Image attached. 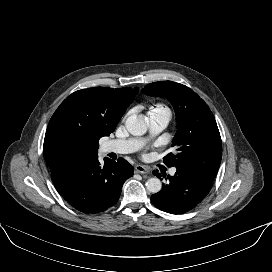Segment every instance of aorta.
<instances>
[{
  "label": "aorta",
  "instance_id": "1",
  "mask_svg": "<svg viewBox=\"0 0 272 272\" xmlns=\"http://www.w3.org/2000/svg\"><path fill=\"white\" fill-rule=\"evenodd\" d=\"M125 126L128 132L134 136H141L147 132L148 125L146 122L135 116H129L125 121ZM162 188L161 181L156 178H150L146 182V189L151 193H158Z\"/></svg>",
  "mask_w": 272,
  "mask_h": 272
}]
</instances>
